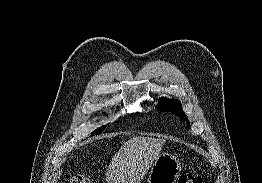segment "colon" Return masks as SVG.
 I'll return each instance as SVG.
<instances>
[{"mask_svg": "<svg viewBox=\"0 0 262 183\" xmlns=\"http://www.w3.org/2000/svg\"><path fill=\"white\" fill-rule=\"evenodd\" d=\"M69 183H93L90 178L85 175H76L71 178ZM178 183H204L202 174L188 173L180 176Z\"/></svg>", "mask_w": 262, "mask_h": 183, "instance_id": "5ec220e1", "label": "colon"}]
</instances>
